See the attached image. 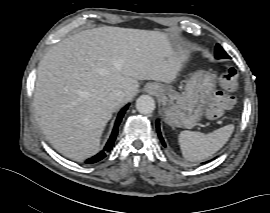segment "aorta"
Returning <instances> with one entry per match:
<instances>
[{
	"label": "aorta",
	"instance_id": "obj_1",
	"mask_svg": "<svg viewBox=\"0 0 270 213\" xmlns=\"http://www.w3.org/2000/svg\"><path fill=\"white\" fill-rule=\"evenodd\" d=\"M136 109L142 114H150L155 109V101L149 95H142L136 100Z\"/></svg>",
	"mask_w": 270,
	"mask_h": 213
}]
</instances>
